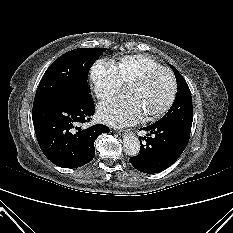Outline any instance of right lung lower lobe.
Returning <instances> with one entry per match:
<instances>
[{
  "mask_svg": "<svg viewBox=\"0 0 233 233\" xmlns=\"http://www.w3.org/2000/svg\"><path fill=\"white\" fill-rule=\"evenodd\" d=\"M94 113L91 95L34 106V129L44 155L62 168H77L90 162L95 156L96 138L101 133L110 132L102 124L84 130L78 127L90 121Z\"/></svg>",
  "mask_w": 233,
  "mask_h": 233,
  "instance_id": "right-lung-lower-lobe-1",
  "label": "right lung lower lobe"
}]
</instances>
